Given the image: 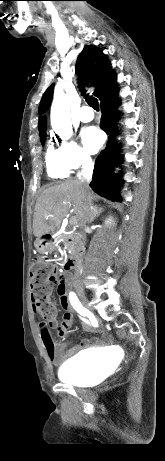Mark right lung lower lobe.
<instances>
[{"mask_svg":"<svg viewBox=\"0 0 165 461\" xmlns=\"http://www.w3.org/2000/svg\"><path fill=\"white\" fill-rule=\"evenodd\" d=\"M119 102L120 99L115 95L101 103L102 117L100 127L107 133L110 141L95 161L93 180L90 183V187L96 193L117 202L121 201L118 186L122 182L120 175L114 173V168L121 163V159L117 155L118 144L115 140L118 133L116 127L118 111L116 107Z\"/></svg>","mask_w":165,"mask_h":461,"instance_id":"obj_1","label":"right lung lower lobe"}]
</instances>
